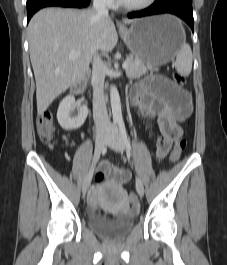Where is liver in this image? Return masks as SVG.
Here are the masks:
<instances>
[{"label": "liver", "instance_id": "liver-1", "mask_svg": "<svg viewBox=\"0 0 227 265\" xmlns=\"http://www.w3.org/2000/svg\"><path fill=\"white\" fill-rule=\"evenodd\" d=\"M28 39L37 113L42 115L55 98L86 75L98 51L114 49L118 36L112 19L94 10L46 8L30 20ZM77 51L80 56L70 59L69 54Z\"/></svg>", "mask_w": 227, "mask_h": 265}]
</instances>
